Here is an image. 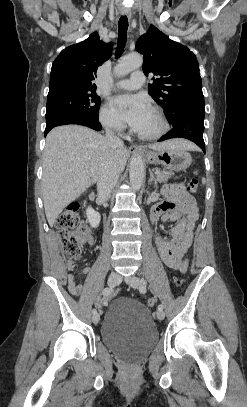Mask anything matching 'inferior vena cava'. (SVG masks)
<instances>
[{"label": "inferior vena cava", "mask_w": 247, "mask_h": 407, "mask_svg": "<svg viewBox=\"0 0 247 407\" xmlns=\"http://www.w3.org/2000/svg\"><path fill=\"white\" fill-rule=\"evenodd\" d=\"M106 139L113 147H123V141L116 137L110 130L106 131ZM119 178V171L116 168L110 167L105 169L100 175L97 182V191L99 197L107 200L115 187Z\"/></svg>", "instance_id": "inferior-vena-cava-1"}]
</instances>
